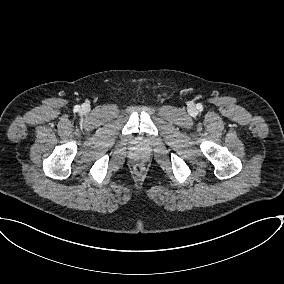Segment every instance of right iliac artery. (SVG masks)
<instances>
[{
    "label": "right iliac artery",
    "mask_w": 284,
    "mask_h": 284,
    "mask_svg": "<svg viewBox=\"0 0 284 284\" xmlns=\"http://www.w3.org/2000/svg\"><path fill=\"white\" fill-rule=\"evenodd\" d=\"M80 109V106H76L75 110L78 111Z\"/></svg>",
    "instance_id": "right-iliac-artery-1"
}]
</instances>
